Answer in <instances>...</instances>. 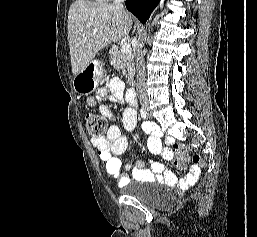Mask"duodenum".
Returning a JSON list of instances; mask_svg holds the SVG:
<instances>
[{"instance_id":"duodenum-1","label":"duodenum","mask_w":257,"mask_h":237,"mask_svg":"<svg viewBox=\"0 0 257 237\" xmlns=\"http://www.w3.org/2000/svg\"><path fill=\"white\" fill-rule=\"evenodd\" d=\"M126 98L130 104H135L136 98H135V91L133 88H129L126 92Z\"/></svg>"}]
</instances>
